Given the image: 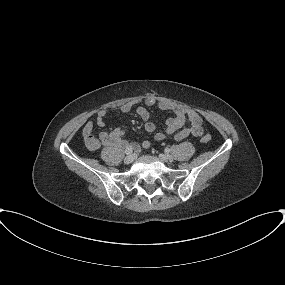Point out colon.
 Masks as SVG:
<instances>
[{
	"instance_id": "1",
	"label": "colon",
	"mask_w": 285,
	"mask_h": 285,
	"mask_svg": "<svg viewBox=\"0 0 285 285\" xmlns=\"http://www.w3.org/2000/svg\"><path fill=\"white\" fill-rule=\"evenodd\" d=\"M211 140V137L209 135H204L202 137V142L203 143H208Z\"/></svg>"
}]
</instances>
